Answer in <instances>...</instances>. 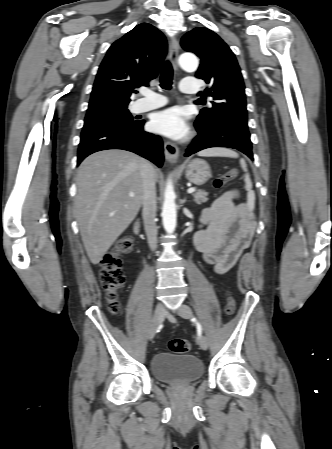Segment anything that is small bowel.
I'll return each mask as SVG.
<instances>
[{
    "label": "small bowel",
    "instance_id": "small-bowel-1",
    "mask_svg": "<svg viewBox=\"0 0 332 449\" xmlns=\"http://www.w3.org/2000/svg\"><path fill=\"white\" fill-rule=\"evenodd\" d=\"M236 198L235 191H228L206 208L195 237L198 251L217 274L226 273L236 264L256 228L246 204H235Z\"/></svg>",
    "mask_w": 332,
    "mask_h": 449
}]
</instances>
